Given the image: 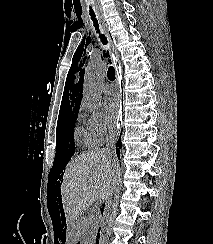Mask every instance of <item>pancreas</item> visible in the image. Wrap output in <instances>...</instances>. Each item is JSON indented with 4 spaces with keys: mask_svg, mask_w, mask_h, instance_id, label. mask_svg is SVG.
<instances>
[{
    "mask_svg": "<svg viewBox=\"0 0 213 244\" xmlns=\"http://www.w3.org/2000/svg\"><path fill=\"white\" fill-rule=\"evenodd\" d=\"M95 232H96V228L94 226H91V227L85 226L83 233H84L85 238H88L89 235H94Z\"/></svg>",
    "mask_w": 213,
    "mask_h": 244,
    "instance_id": "obj_1",
    "label": "pancreas"
}]
</instances>
